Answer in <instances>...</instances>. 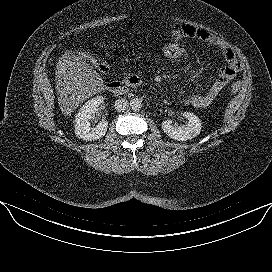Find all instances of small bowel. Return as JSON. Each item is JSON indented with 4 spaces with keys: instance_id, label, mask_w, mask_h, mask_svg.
I'll use <instances>...</instances> for the list:
<instances>
[{
    "instance_id": "small-bowel-1",
    "label": "small bowel",
    "mask_w": 272,
    "mask_h": 272,
    "mask_svg": "<svg viewBox=\"0 0 272 272\" xmlns=\"http://www.w3.org/2000/svg\"><path fill=\"white\" fill-rule=\"evenodd\" d=\"M171 36L175 40L193 38L206 42L215 47L225 60L219 70V75L209 89L204 93H196L187 96L184 103L195 108L208 107L221 93V91L234 79L240 69V63L233 50L218 36L213 33L188 24H177L171 30Z\"/></svg>"
}]
</instances>
